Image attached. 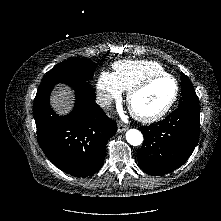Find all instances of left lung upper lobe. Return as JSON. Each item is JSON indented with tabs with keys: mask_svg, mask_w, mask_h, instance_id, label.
Segmentation results:
<instances>
[{
	"mask_svg": "<svg viewBox=\"0 0 221 221\" xmlns=\"http://www.w3.org/2000/svg\"><path fill=\"white\" fill-rule=\"evenodd\" d=\"M181 98L179 107H199V100L190 79L181 73Z\"/></svg>",
	"mask_w": 221,
	"mask_h": 221,
	"instance_id": "obj_1",
	"label": "left lung upper lobe"
}]
</instances>
